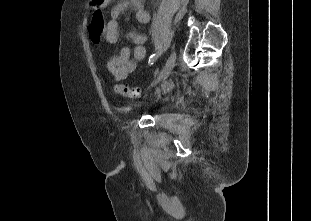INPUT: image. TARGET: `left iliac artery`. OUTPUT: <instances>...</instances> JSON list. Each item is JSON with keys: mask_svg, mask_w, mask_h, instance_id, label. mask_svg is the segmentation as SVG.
I'll list each match as a JSON object with an SVG mask.
<instances>
[{"mask_svg": "<svg viewBox=\"0 0 311 221\" xmlns=\"http://www.w3.org/2000/svg\"><path fill=\"white\" fill-rule=\"evenodd\" d=\"M157 58H158V54L151 55L149 58L148 64L151 66L156 61Z\"/></svg>", "mask_w": 311, "mask_h": 221, "instance_id": "left-iliac-artery-1", "label": "left iliac artery"}]
</instances>
